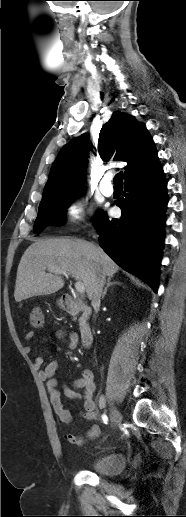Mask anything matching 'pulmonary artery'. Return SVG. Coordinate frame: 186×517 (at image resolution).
I'll return each mask as SVG.
<instances>
[{
	"instance_id": "obj_1",
	"label": "pulmonary artery",
	"mask_w": 186,
	"mask_h": 517,
	"mask_svg": "<svg viewBox=\"0 0 186 517\" xmlns=\"http://www.w3.org/2000/svg\"><path fill=\"white\" fill-rule=\"evenodd\" d=\"M99 189L103 195L109 197L113 194V186L111 184V175L106 174L100 182Z\"/></svg>"
}]
</instances>
